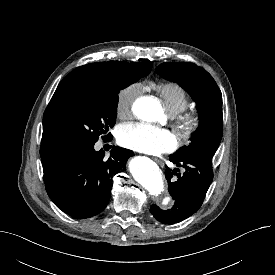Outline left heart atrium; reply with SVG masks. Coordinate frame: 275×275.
Here are the masks:
<instances>
[{
    "label": "left heart atrium",
    "mask_w": 275,
    "mask_h": 275,
    "mask_svg": "<svg viewBox=\"0 0 275 275\" xmlns=\"http://www.w3.org/2000/svg\"><path fill=\"white\" fill-rule=\"evenodd\" d=\"M118 141L126 148L148 154L170 152L177 147V139L171 131L148 123L121 125Z\"/></svg>",
    "instance_id": "39dd6f15"
}]
</instances>
